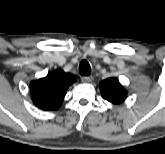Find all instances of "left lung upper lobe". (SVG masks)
<instances>
[{
    "label": "left lung upper lobe",
    "mask_w": 165,
    "mask_h": 154,
    "mask_svg": "<svg viewBox=\"0 0 165 154\" xmlns=\"http://www.w3.org/2000/svg\"><path fill=\"white\" fill-rule=\"evenodd\" d=\"M102 97L114 104L122 103L127 92L116 78H108L100 83Z\"/></svg>",
    "instance_id": "5c2ea615"
}]
</instances>
